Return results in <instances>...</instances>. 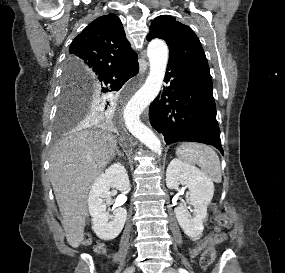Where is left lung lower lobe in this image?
<instances>
[{
	"mask_svg": "<svg viewBox=\"0 0 285 273\" xmlns=\"http://www.w3.org/2000/svg\"><path fill=\"white\" fill-rule=\"evenodd\" d=\"M165 82L170 85L150 104L149 117L166 144L200 142L213 145L223 155L212 80L169 61Z\"/></svg>",
	"mask_w": 285,
	"mask_h": 273,
	"instance_id": "0a47b994",
	"label": "left lung lower lobe"
}]
</instances>
